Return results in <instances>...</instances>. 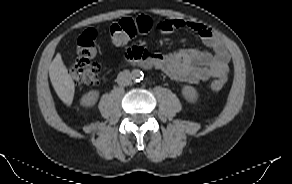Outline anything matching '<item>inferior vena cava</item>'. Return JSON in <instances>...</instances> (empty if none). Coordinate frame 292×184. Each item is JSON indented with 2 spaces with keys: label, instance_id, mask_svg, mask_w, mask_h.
Instances as JSON below:
<instances>
[{
  "label": "inferior vena cava",
  "instance_id": "inferior-vena-cava-1",
  "mask_svg": "<svg viewBox=\"0 0 292 184\" xmlns=\"http://www.w3.org/2000/svg\"><path fill=\"white\" fill-rule=\"evenodd\" d=\"M132 77L131 73L128 70L120 72L117 76V83L120 86H127L131 83Z\"/></svg>",
  "mask_w": 292,
  "mask_h": 184
}]
</instances>
